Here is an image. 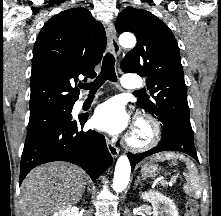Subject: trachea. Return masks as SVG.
<instances>
[{
    "label": "trachea",
    "mask_w": 221,
    "mask_h": 216,
    "mask_svg": "<svg viewBox=\"0 0 221 216\" xmlns=\"http://www.w3.org/2000/svg\"><path fill=\"white\" fill-rule=\"evenodd\" d=\"M115 58L111 53H107L102 62V69L100 74L91 83L80 84L81 89L90 90V93H95L106 80L117 82L115 73ZM135 94H143L142 91H136Z\"/></svg>",
    "instance_id": "obj_1"
}]
</instances>
